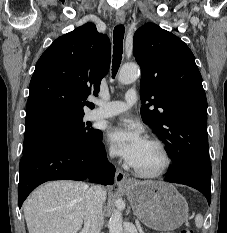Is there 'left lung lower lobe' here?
<instances>
[{"label":"left lung lower lobe","mask_w":227,"mask_h":233,"mask_svg":"<svg viewBox=\"0 0 227 233\" xmlns=\"http://www.w3.org/2000/svg\"><path fill=\"white\" fill-rule=\"evenodd\" d=\"M210 180L211 174L197 169L168 172L165 177V181L167 182L180 183L199 190L206 197L209 205L211 202Z\"/></svg>","instance_id":"0a47b994"}]
</instances>
